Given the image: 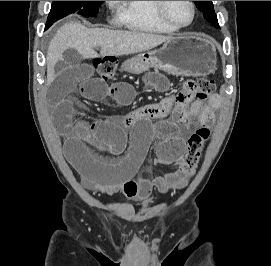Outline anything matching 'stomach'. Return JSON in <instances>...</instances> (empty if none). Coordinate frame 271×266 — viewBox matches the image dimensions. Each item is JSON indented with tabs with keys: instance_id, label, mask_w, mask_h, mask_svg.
Segmentation results:
<instances>
[{
	"instance_id": "obj_1",
	"label": "stomach",
	"mask_w": 271,
	"mask_h": 266,
	"mask_svg": "<svg viewBox=\"0 0 271 266\" xmlns=\"http://www.w3.org/2000/svg\"><path fill=\"white\" fill-rule=\"evenodd\" d=\"M216 64V48L211 40L183 35L171 38L158 50L136 55L123 67L135 74L155 68L171 75L197 77L212 73Z\"/></svg>"
}]
</instances>
